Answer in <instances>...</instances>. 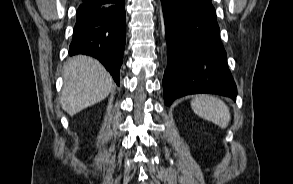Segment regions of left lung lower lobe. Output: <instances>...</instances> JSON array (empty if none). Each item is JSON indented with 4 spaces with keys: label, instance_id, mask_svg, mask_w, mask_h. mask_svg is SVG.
I'll use <instances>...</instances> for the list:
<instances>
[{
    "label": "left lung lower lobe",
    "instance_id": "obj_1",
    "mask_svg": "<svg viewBox=\"0 0 293 184\" xmlns=\"http://www.w3.org/2000/svg\"><path fill=\"white\" fill-rule=\"evenodd\" d=\"M167 41L164 101L213 93L236 100L211 0H161Z\"/></svg>",
    "mask_w": 293,
    "mask_h": 184
}]
</instances>
